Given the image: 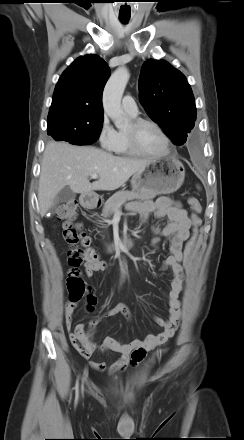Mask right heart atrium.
<instances>
[{
    "instance_id": "obj_1",
    "label": "right heart atrium",
    "mask_w": 244,
    "mask_h": 440,
    "mask_svg": "<svg viewBox=\"0 0 244 440\" xmlns=\"http://www.w3.org/2000/svg\"><path fill=\"white\" fill-rule=\"evenodd\" d=\"M98 141L101 147L106 150H111L116 141V130L112 127L106 116L102 118L100 124Z\"/></svg>"
}]
</instances>
